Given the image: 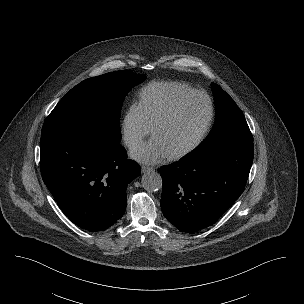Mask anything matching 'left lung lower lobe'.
Wrapping results in <instances>:
<instances>
[{
	"mask_svg": "<svg viewBox=\"0 0 304 304\" xmlns=\"http://www.w3.org/2000/svg\"><path fill=\"white\" fill-rule=\"evenodd\" d=\"M253 162V142L234 141L160 168L161 209L182 232L215 223L237 200Z\"/></svg>",
	"mask_w": 304,
	"mask_h": 304,
	"instance_id": "1",
	"label": "left lung lower lobe"
}]
</instances>
